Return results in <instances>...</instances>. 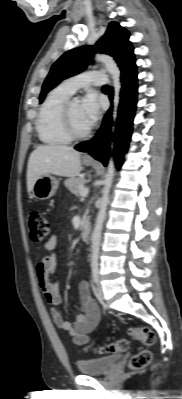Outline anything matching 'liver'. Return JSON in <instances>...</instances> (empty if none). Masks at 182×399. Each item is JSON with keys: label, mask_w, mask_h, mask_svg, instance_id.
Wrapping results in <instances>:
<instances>
[{"label": "liver", "mask_w": 182, "mask_h": 399, "mask_svg": "<svg viewBox=\"0 0 182 399\" xmlns=\"http://www.w3.org/2000/svg\"><path fill=\"white\" fill-rule=\"evenodd\" d=\"M80 152L64 145H39L30 155L27 166V191L44 175L74 178L82 170Z\"/></svg>", "instance_id": "liver-1"}]
</instances>
